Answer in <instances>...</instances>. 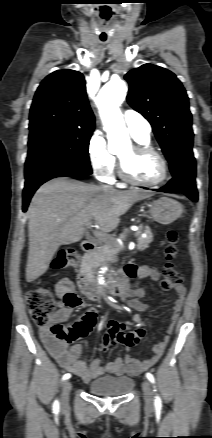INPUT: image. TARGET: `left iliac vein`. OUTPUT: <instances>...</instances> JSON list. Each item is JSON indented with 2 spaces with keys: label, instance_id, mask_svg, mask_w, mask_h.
<instances>
[{
  "label": "left iliac vein",
  "instance_id": "1",
  "mask_svg": "<svg viewBox=\"0 0 212 438\" xmlns=\"http://www.w3.org/2000/svg\"><path fill=\"white\" fill-rule=\"evenodd\" d=\"M142 389L144 392V399L147 408H152L154 406V395L152 386L149 381L145 380L142 383Z\"/></svg>",
  "mask_w": 212,
  "mask_h": 438
}]
</instances>
